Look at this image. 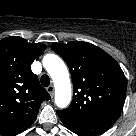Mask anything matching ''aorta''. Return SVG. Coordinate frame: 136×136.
Wrapping results in <instances>:
<instances>
[{
    "instance_id": "762f6f07",
    "label": "aorta",
    "mask_w": 136,
    "mask_h": 136,
    "mask_svg": "<svg viewBox=\"0 0 136 136\" xmlns=\"http://www.w3.org/2000/svg\"><path fill=\"white\" fill-rule=\"evenodd\" d=\"M43 66L52 77L55 86V103L65 108L71 101V83L66 65L55 54H47L43 58Z\"/></svg>"
}]
</instances>
